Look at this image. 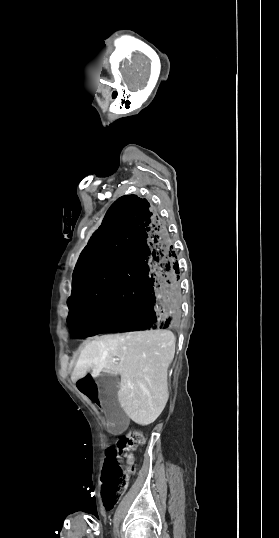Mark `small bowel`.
<instances>
[{
  "mask_svg": "<svg viewBox=\"0 0 279 538\" xmlns=\"http://www.w3.org/2000/svg\"><path fill=\"white\" fill-rule=\"evenodd\" d=\"M127 465L134 468V457L130 455L127 459Z\"/></svg>",
  "mask_w": 279,
  "mask_h": 538,
  "instance_id": "obj_1",
  "label": "small bowel"
}]
</instances>
